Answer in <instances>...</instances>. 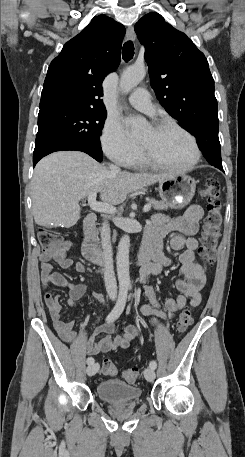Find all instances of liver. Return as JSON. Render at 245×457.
<instances>
[{"label":"liver","instance_id":"liver-1","mask_svg":"<svg viewBox=\"0 0 245 457\" xmlns=\"http://www.w3.org/2000/svg\"><path fill=\"white\" fill-rule=\"evenodd\" d=\"M169 174L116 172L80 150L52 152L36 164L31 180L32 210L41 226H73L80 218L79 200L101 192L104 202L120 204L129 192L165 180Z\"/></svg>","mask_w":245,"mask_h":457}]
</instances>
